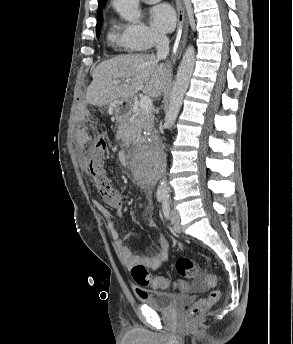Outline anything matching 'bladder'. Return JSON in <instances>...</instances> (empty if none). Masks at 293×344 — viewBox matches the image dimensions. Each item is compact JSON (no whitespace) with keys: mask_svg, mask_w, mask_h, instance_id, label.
<instances>
[{"mask_svg":"<svg viewBox=\"0 0 293 344\" xmlns=\"http://www.w3.org/2000/svg\"><path fill=\"white\" fill-rule=\"evenodd\" d=\"M140 300L143 304L148 305L151 308L171 311L179 304L189 301L190 299L181 294L148 290L142 297H140Z\"/></svg>","mask_w":293,"mask_h":344,"instance_id":"obj_1","label":"bladder"}]
</instances>
